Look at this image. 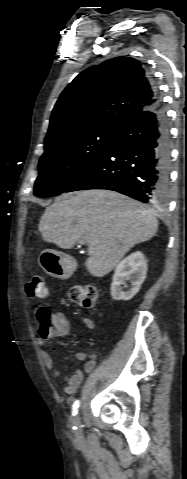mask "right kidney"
Segmentation results:
<instances>
[{"mask_svg": "<svg viewBox=\"0 0 187 479\" xmlns=\"http://www.w3.org/2000/svg\"><path fill=\"white\" fill-rule=\"evenodd\" d=\"M147 260L142 252H134L124 258L115 268L112 278L111 295L114 300L128 301L139 291L146 278ZM130 281V288L124 290L122 285Z\"/></svg>", "mask_w": 187, "mask_h": 479, "instance_id": "obj_1", "label": "right kidney"}]
</instances>
